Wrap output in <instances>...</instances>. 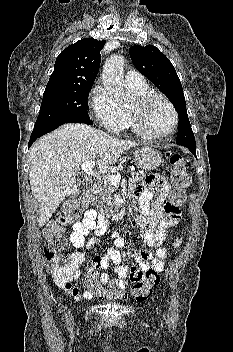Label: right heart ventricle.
Returning <instances> with one entry per match:
<instances>
[{"label": "right heart ventricle", "mask_w": 233, "mask_h": 352, "mask_svg": "<svg viewBox=\"0 0 233 352\" xmlns=\"http://www.w3.org/2000/svg\"><path fill=\"white\" fill-rule=\"evenodd\" d=\"M132 90L137 94V96L144 95V94L148 93L147 87L142 88V89H132ZM126 128H131V122H130L128 112H125V122H124L123 129H126Z\"/></svg>", "instance_id": "e07e8e85"}]
</instances>
